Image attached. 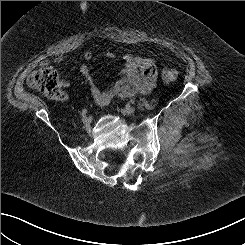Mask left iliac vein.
<instances>
[{"label": "left iliac vein", "instance_id": "left-iliac-vein-1", "mask_svg": "<svg viewBox=\"0 0 245 245\" xmlns=\"http://www.w3.org/2000/svg\"><path fill=\"white\" fill-rule=\"evenodd\" d=\"M135 112V108L130 106V105H127L124 109H123V113H126V114H133Z\"/></svg>", "mask_w": 245, "mask_h": 245}]
</instances>
